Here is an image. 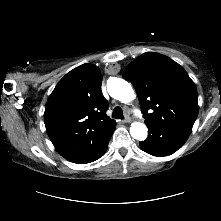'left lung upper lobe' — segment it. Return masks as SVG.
I'll list each match as a JSON object with an SVG mask.
<instances>
[{"instance_id":"left-lung-upper-lobe-1","label":"left lung upper lobe","mask_w":221,"mask_h":221,"mask_svg":"<svg viewBox=\"0 0 221 221\" xmlns=\"http://www.w3.org/2000/svg\"><path fill=\"white\" fill-rule=\"evenodd\" d=\"M123 78L136 90L145 123L192 129L198 115L197 90L178 63L147 52L127 66Z\"/></svg>"}]
</instances>
